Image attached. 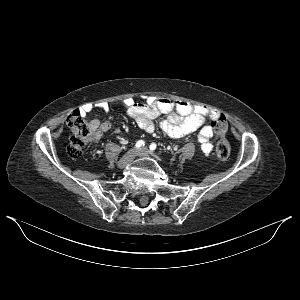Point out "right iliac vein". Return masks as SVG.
Wrapping results in <instances>:
<instances>
[{
  "label": "right iliac vein",
  "instance_id": "1",
  "mask_svg": "<svg viewBox=\"0 0 300 300\" xmlns=\"http://www.w3.org/2000/svg\"><path fill=\"white\" fill-rule=\"evenodd\" d=\"M137 154L136 149H130L118 162L119 168H125L129 163H131Z\"/></svg>",
  "mask_w": 300,
  "mask_h": 300
}]
</instances>
